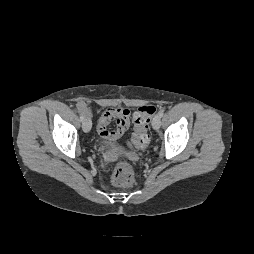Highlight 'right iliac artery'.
<instances>
[{
  "mask_svg": "<svg viewBox=\"0 0 254 254\" xmlns=\"http://www.w3.org/2000/svg\"><path fill=\"white\" fill-rule=\"evenodd\" d=\"M80 119H81V121L84 120V116L82 114L80 115Z\"/></svg>",
  "mask_w": 254,
  "mask_h": 254,
  "instance_id": "82829eb1",
  "label": "right iliac artery"
}]
</instances>
